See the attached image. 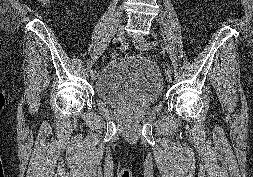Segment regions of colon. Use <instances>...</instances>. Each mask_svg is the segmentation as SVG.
I'll return each mask as SVG.
<instances>
[{
	"mask_svg": "<svg viewBox=\"0 0 253 177\" xmlns=\"http://www.w3.org/2000/svg\"><path fill=\"white\" fill-rule=\"evenodd\" d=\"M43 4L50 5V0H42ZM118 56V53L112 52L111 57L116 58Z\"/></svg>",
	"mask_w": 253,
	"mask_h": 177,
	"instance_id": "colon-1",
	"label": "colon"
}]
</instances>
